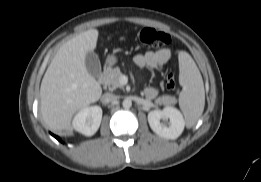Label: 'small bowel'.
<instances>
[{"label": "small bowel", "mask_w": 261, "mask_h": 182, "mask_svg": "<svg viewBox=\"0 0 261 182\" xmlns=\"http://www.w3.org/2000/svg\"><path fill=\"white\" fill-rule=\"evenodd\" d=\"M172 56V51L168 48H164L137 54L134 57V62L138 67L155 69L169 62ZM144 94L147 98L154 99L158 91L154 87H147L144 90Z\"/></svg>", "instance_id": "obj_1"}]
</instances>
